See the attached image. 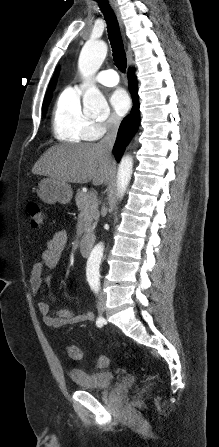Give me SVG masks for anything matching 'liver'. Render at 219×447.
Here are the masks:
<instances>
[{"instance_id":"1","label":"liver","mask_w":219,"mask_h":447,"mask_svg":"<svg viewBox=\"0 0 219 447\" xmlns=\"http://www.w3.org/2000/svg\"><path fill=\"white\" fill-rule=\"evenodd\" d=\"M114 162L99 143L61 144L49 148L35 163L32 173L63 182L107 184Z\"/></svg>"}]
</instances>
